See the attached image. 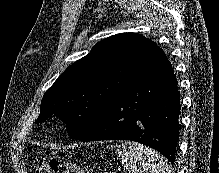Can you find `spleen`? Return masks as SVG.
<instances>
[{
  "label": "spleen",
  "instance_id": "spleen-1",
  "mask_svg": "<svg viewBox=\"0 0 219 173\" xmlns=\"http://www.w3.org/2000/svg\"><path fill=\"white\" fill-rule=\"evenodd\" d=\"M116 151L129 173H174L158 152L137 142L125 141Z\"/></svg>",
  "mask_w": 219,
  "mask_h": 173
}]
</instances>
